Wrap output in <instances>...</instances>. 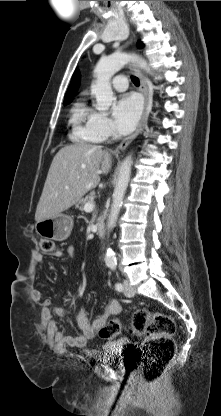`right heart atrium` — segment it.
Returning <instances> with one entry per match:
<instances>
[{"mask_svg":"<svg viewBox=\"0 0 221 416\" xmlns=\"http://www.w3.org/2000/svg\"><path fill=\"white\" fill-rule=\"evenodd\" d=\"M87 126L98 141H104L116 135L111 119L96 110L90 111Z\"/></svg>","mask_w":221,"mask_h":416,"instance_id":"right-heart-atrium-1","label":"right heart atrium"}]
</instances>
